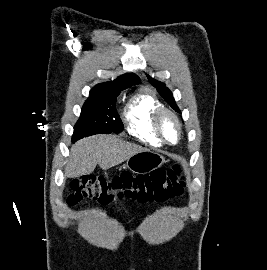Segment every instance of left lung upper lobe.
I'll use <instances>...</instances> for the list:
<instances>
[{
    "instance_id": "1",
    "label": "left lung upper lobe",
    "mask_w": 267,
    "mask_h": 270,
    "mask_svg": "<svg viewBox=\"0 0 267 270\" xmlns=\"http://www.w3.org/2000/svg\"><path fill=\"white\" fill-rule=\"evenodd\" d=\"M154 87H156L158 93L165 99V101L176 111L181 113L177 107L171 91L165 86L164 83L159 82L149 76H147Z\"/></svg>"
}]
</instances>
